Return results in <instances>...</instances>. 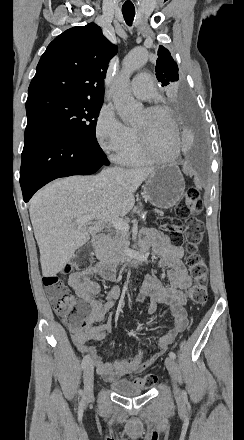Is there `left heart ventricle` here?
<instances>
[{
  "label": "left heart ventricle",
  "mask_w": 244,
  "mask_h": 440,
  "mask_svg": "<svg viewBox=\"0 0 244 440\" xmlns=\"http://www.w3.org/2000/svg\"><path fill=\"white\" fill-rule=\"evenodd\" d=\"M167 111H150L143 112L139 115L134 123L138 130L146 131L145 144L146 146H157L160 151H163L165 156L171 154L172 135L169 133L171 127L168 122Z\"/></svg>",
  "instance_id": "b2bd125f"
}]
</instances>
